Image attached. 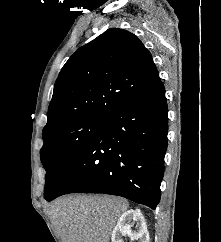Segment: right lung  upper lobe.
Segmentation results:
<instances>
[{
	"label": "right lung upper lobe",
	"mask_w": 221,
	"mask_h": 242,
	"mask_svg": "<svg viewBox=\"0 0 221 242\" xmlns=\"http://www.w3.org/2000/svg\"><path fill=\"white\" fill-rule=\"evenodd\" d=\"M158 76L150 52L136 35L109 29L80 47L63 66L43 133L82 118H104Z\"/></svg>",
	"instance_id": "1"
}]
</instances>
